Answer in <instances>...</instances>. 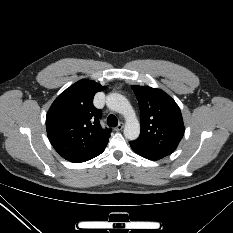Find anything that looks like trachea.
Segmentation results:
<instances>
[{"instance_id": "obj_1", "label": "trachea", "mask_w": 233, "mask_h": 233, "mask_svg": "<svg viewBox=\"0 0 233 233\" xmlns=\"http://www.w3.org/2000/svg\"><path fill=\"white\" fill-rule=\"evenodd\" d=\"M107 124L108 126H117L118 124V119L115 115L111 114L107 118Z\"/></svg>"}]
</instances>
